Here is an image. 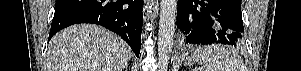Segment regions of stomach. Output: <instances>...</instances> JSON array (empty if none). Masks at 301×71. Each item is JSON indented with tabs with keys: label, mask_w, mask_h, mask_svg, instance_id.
Wrapping results in <instances>:
<instances>
[{
	"label": "stomach",
	"mask_w": 301,
	"mask_h": 71,
	"mask_svg": "<svg viewBox=\"0 0 301 71\" xmlns=\"http://www.w3.org/2000/svg\"><path fill=\"white\" fill-rule=\"evenodd\" d=\"M197 60H195L193 57H189L187 58V64L188 65H192L196 62Z\"/></svg>",
	"instance_id": "0dacf381"
}]
</instances>
